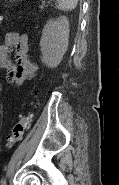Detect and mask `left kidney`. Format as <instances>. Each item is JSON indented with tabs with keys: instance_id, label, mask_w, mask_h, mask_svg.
<instances>
[{
	"instance_id": "left-kidney-1",
	"label": "left kidney",
	"mask_w": 119,
	"mask_h": 185,
	"mask_svg": "<svg viewBox=\"0 0 119 185\" xmlns=\"http://www.w3.org/2000/svg\"><path fill=\"white\" fill-rule=\"evenodd\" d=\"M69 21L66 16L50 19L43 28L40 47L41 61L49 68H56L68 47Z\"/></svg>"
}]
</instances>
